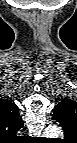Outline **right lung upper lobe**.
Returning <instances> with one entry per match:
<instances>
[{"mask_svg":"<svg viewBox=\"0 0 77 143\" xmlns=\"http://www.w3.org/2000/svg\"><path fill=\"white\" fill-rule=\"evenodd\" d=\"M23 125L17 105L7 100H0V132L15 135Z\"/></svg>","mask_w":77,"mask_h":143,"instance_id":"obj_1","label":"right lung upper lobe"}]
</instances>
